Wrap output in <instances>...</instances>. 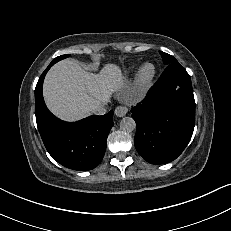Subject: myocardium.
I'll use <instances>...</instances> for the list:
<instances>
[{
    "mask_svg": "<svg viewBox=\"0 0 231 231\" xmlns=\"http://www.w3.org/2000/svg\"><path fill=\"white\" fill-rule=\"evenodd\" d=\"M150 68V72H147V69ZM156 76V69L152 64H144L138 74L136 79V84L139 88L144 89L149 86Z\"/></svg>",
    "mask_w": 231,
    "mask_h": 231,
    "instance_id": "myocardium-1",
    "label": "myocardium"
}]
</instances>
